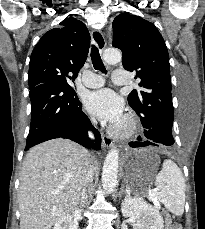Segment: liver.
Instances as JSON below:
<instances>
[{
	"label": "liver",
	"instance_id": "6515ba94",
	"mask_svg": "<svg viewBox=\"0 0 205 229\" xmlns=\"http://www.w3.org/2000/svg\"><path fill=\"white\" fill-rule=\"evenodd\" d=\"M89 166L97 169L96 158L67 139L30 149L20 176V229H51L58 219L74 212Z\"/></svg>",
	"mask_w": 205,
	"mask_h": 229
}]
</instances>
